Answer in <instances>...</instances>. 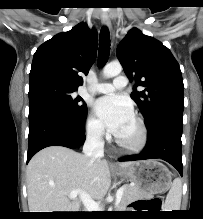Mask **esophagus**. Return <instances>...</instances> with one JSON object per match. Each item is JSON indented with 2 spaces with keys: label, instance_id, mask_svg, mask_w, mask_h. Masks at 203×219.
Instances as JSON below:
<instances>
[{
  "label": "esophagus",
  "instance_id": "esophagus-1",
  "mask_svg": "<svg viewBox=\"0 0 203 219\" xmlns=\"http://www.w3.org/2000/svg\"><path fill=\"white\" fill-rule=\"evenodd\" d=\"M101 19H102V23L108 27L109 29H111V21H110V18L108 16L107 13H103L102 16H101ZM112 158V157H111Z\"/></svg>",
  "mask_w": 203,
  "mask_h": 219
}]
</instances>
